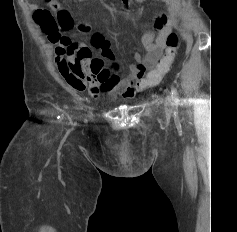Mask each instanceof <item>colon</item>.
I'll return each instance as SVG.
<instances>
[{"mask_svg":"<svg viewBox=\"0 0 237 232\" xmlns=\"http://www.w3.org/2000/svg\"><path fill=\"white\" fill-rule=\"evenodd\" d=\"M49 9H38L34 13V19L40 28L46 33L52 43L66 44L71 41L70 31L74 27V21L67 9L57 0H47ZM79 31L89 30L87 24H80ZM179 47V39L175 33H170L166 40V50L163 57L158 62L156 69L151 70L146 76L148 87L161 83L162 78L172 67Z\"/></svg>","mask_w":237,"mask_h":232,"instance_id":"1","label":"colon"}]
</instances>
